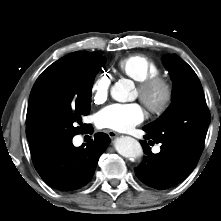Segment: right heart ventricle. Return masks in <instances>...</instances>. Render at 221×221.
I'll return each instance as SVG.
<instances>
[{
	"instance_id": "1",
	"label": "right heart ventricle",
	"mask_w": 221,
	"mask_h": 221,
	"mask_svg": "<svg viewBox=\"0 0 221 221\" xmlns=\"http://www.w3.org/2000/svg\"><path fill=\"white\" fill-rule=\"evenodd\" d=\"M122 74L134 81L140 82L150 76L160 73V65L151 57L143 54L128 56L118 63Z\"/></svg>"
}]
</instances>
